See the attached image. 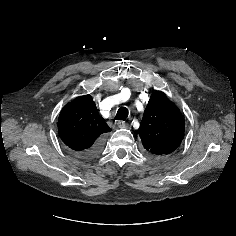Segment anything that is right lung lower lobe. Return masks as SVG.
I'll use <instances>...</instances> for the list:
<instances>
[{"instance_id": "98d812e1", "label": "right lung lower lobe", "mask_w": 236, "mask_h": 236, "mask_svg": "<svg viewBox=\"0 0 236 236\" xmlns=\"http://www.w3.org/2000/svg\"><path fill=\"white\" fill-rule=\"evenodd\" d=\"M102 147H103V140L99 139L95 142V144L91 148L85 151L76 152V155L81 159H91L101 151Z\"/></svg>"}]
</instances>
